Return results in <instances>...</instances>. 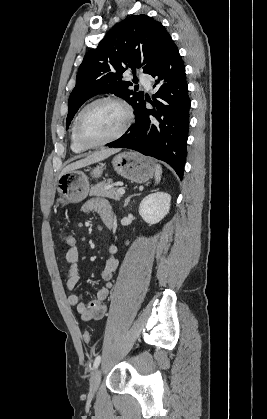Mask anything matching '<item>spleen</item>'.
<instances>
[{"mask_svg": "<svg viewBox=\"0 0 267 419\" xmlns=\"http://www.w3.org/2000/svg\"><path fill=\"white\" fill-rule=\"evenodd\" d=\"M161 175H162V167L157 164L156 165V169H155V182L158 184L161 180Z\"/></svg>", "mask_w": 267, "mask_h": 419, "instance_id": "3e777b00", "label": "spleen"}]
</instances>
